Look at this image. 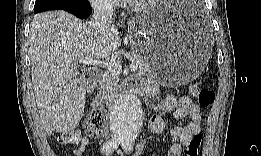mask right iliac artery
<instances>
[{
	"label": "right iliac artery",
	"mask_w": 261,
	"mask_h": 156,
	"mask_svg": "<svg viewBox=\"0 0 261 156\" xmlns=\"http://www.w3.org/2000/svg\"><path fill=\"white\" fill-rule=\"evenodd\" d=\"M120 144V140L116 138H112L109 141L105 142L102 146V152L106 155H111L115 149L118 148Z\"/></svg>",
	"instance_id": "82829eb1"
}]
</instances>
